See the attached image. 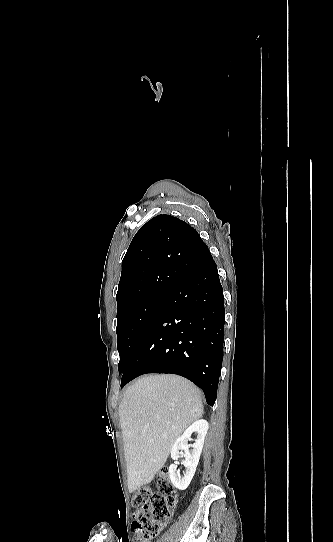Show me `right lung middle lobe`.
I'll return each instance as SVG.
<instances>
[{
    "mask_svg": "<svg viewBox=\"0 0 333 542\" xmlns=\"http://www.w3.org/2000/svg\"><path fill=\"white\" fill-rule=\"evenodd\" d=\"M167 293L153 294L137 304L124 307L117 313L119 374H122L129 364L144 329L159 306L166 300Z\"/></svg>",
    "mask_w": 333,
    "mask_h": 542,
    "instance_id": "1",
    "label": "right lung middle lobe"
}]
</instances>
